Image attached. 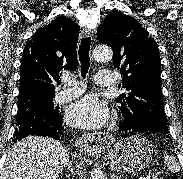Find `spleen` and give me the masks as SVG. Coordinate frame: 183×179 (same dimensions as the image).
Masks as SVG:
<instances>
[{"instance_id":"3e777b00","label":"spleen","mask_w":183,"mask_h":179,"mask_svg":"<svg viewBox=\"0 0 183 179\" xmlns=\"http://www.w3.org/2000/svg\"><path fill=\"white\" fill-rule=\"evenodd\" d=\"M164 162L172 172H179L180 164L177 162V160L174 156L165 155Z\"/></svg>"}]
</instances>
